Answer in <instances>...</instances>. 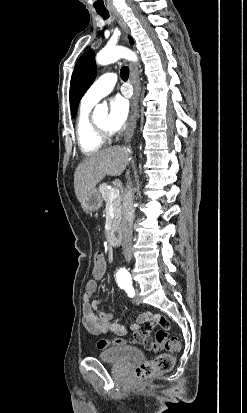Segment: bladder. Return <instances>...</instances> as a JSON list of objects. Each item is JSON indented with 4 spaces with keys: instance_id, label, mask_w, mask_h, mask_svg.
<instances>
[{
    "instance_id": "1",
    "label": "bladder",
    "mask_w": 247,
    "mask_h": 413,
    "mask_svg": "<svg viewBox=\"0 0 247 413\" xmlns=\"http://www.w3.org/2000/svg\"><path fill=\"white\" fill-rule=\"evenodd\" d=\"M143 357V351L128 346L108 348L105 352L98 353L99 360L121 364H126L130 360L143 359Z\"/></svg>"
}]
</instances>
